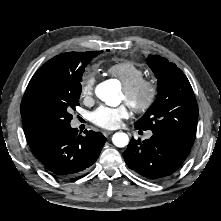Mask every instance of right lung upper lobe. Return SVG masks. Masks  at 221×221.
<instances>
[{
  "label": "right lung upper lobe",
  "mask_w": 221,
  "mask_h": 221,
  "mask_svg": "<svg viewBox=\"0 0 221 221\" xmlns=\"http://www.w3.org/2000/svg\"><path fill=\"white\" fill-rule=\"evenodd\" d=\"M89 52H67L57 55L39 68L30 80L21 103L23 129L30 147L55 131L47 127L35 115L33 110L35 91L50 76L72 75L78 68L81 57Z\"/></svg>",
  "instance_id": "right-lung-upper-lobe-1"
}]
</instances>
